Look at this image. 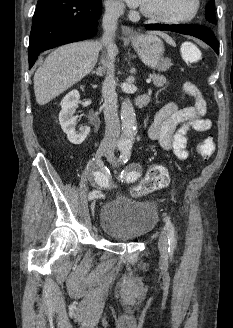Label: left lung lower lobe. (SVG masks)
<instances>
[{"mask_svg":"<svg viewBox=\"0 0 233 328\" xmlns=\"http://www.w3.org/2000/svg\"><path fill=\"white\" fill-rule=\"evenodd\" d=\"M146 29L148 30H167V31H173L181 34H186L190 36H194L196 38H199L206 42L209 46L212 47V49L219 53V43L217 39L215 38L214 33L206 29L204 27H200L193 24L188 25H165V24H147Z\"/></svg>","mask_w":233,"mask_h":328,"instance_id":"1","label":"left lung lower lobe"}]
</instances>
